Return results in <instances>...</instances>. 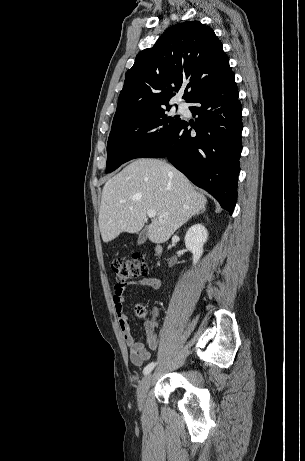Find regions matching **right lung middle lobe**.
Returning a JSON list of instances; mask_svg holds the SVG:
<instances>
[{
  "instance_id": "right-lung-middle-lobe-1",
  "label": "right lung middle lobe",
  "mask_w": 305,
  "mask_h": 461,
  "mask_svg": "<svg viewBox=\"0 0 305 461\" xmlns=\"http://www.w3.org/2000/svg\"><path fill=\"white\" fill-rule=\"evenodd\" d=\"M164 105L124 118L112 125L107 143L106 173L160 147L181 123Z\"/></svg>"
}]
</instances>
